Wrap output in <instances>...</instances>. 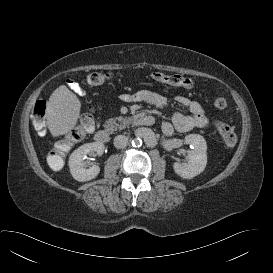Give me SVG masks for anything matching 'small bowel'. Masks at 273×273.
<instances>
[{
	"mask_svg": "<svg viewBox=\"0 0 273 273\" xmlns=\"http://www.w3.org/2000/svg\"><path fill=\"white\" fill-rule=\"evenodd\" d=\"M68 84L78 95L83 96L85 94L83 88L77 82L69 80ZM121 99L125 102H143L158 107H163L167 104L166 97L149 90H141L134 94H124L121 96ZM176 101L187 108L189 114L177 111L173 114L171 121H164L161 125V130L165 136H172L175 131L185 133L194 128L206 127L208 125L209 121L200 103L184 96H177Z\"/></svg>",
	"mask_w": 273,
	"mask_h": 273,
	"instance_id": "obj_1",
	"label": "small bowel"
}]
</instances>
